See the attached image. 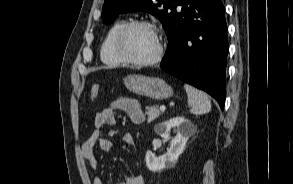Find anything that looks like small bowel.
I'll return each instance as SVG.
<instances>
[{"label": "small bowel", "instance_id": "obj_1", "mask_svg": "<svg viewBox=\"0 0 293 184\" xmlns=\"http://www.w3.org/2000/svg\"><path fill=\"white\" fill-rule=\"evenodd\" d=\"M117 111L124 112L134 124H140L145 120V114L140 102L128 96H120L113 99L106 108L99 111L94 118L93 132L82 144V154L88 161L91 170H95L97 167V159L94 152L96 146L103 152H110L112 150V143L103 136L102 129L117 123ZM123 142L129 146L134 145L133 135L130 133L124 134ZM92 184H104V182L99 176L95 175L92 178ZM116 184H145V182L141 175H133L125 176Z\"/></svg>", "mask_w": 293, "mask_h": 184}]
</instances>
